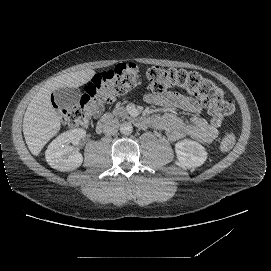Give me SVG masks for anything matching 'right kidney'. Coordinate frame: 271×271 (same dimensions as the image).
<instances>
[{"mask_svg":"<svg viewBox=\"0 0 271 271\" xmlns=\"http://www.w3.org/2000/svg\"><path fill=\"white\" fill-rule=\"evenodd\" d=\"M83 128L69 129L57 136L47 147L45 155L50 166L60 171H72L82 163V155L71 145L86 138Z\"/></svg>","mask_w":271,"mask_h":271,"instance_id":"ca27d5eb","label":"right kidney"}]
</instances>
